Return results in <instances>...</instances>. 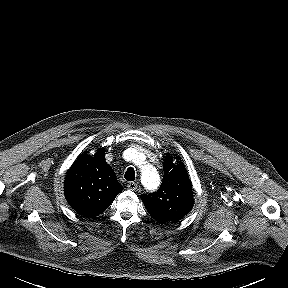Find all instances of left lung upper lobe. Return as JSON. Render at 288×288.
I'll list each match as a JSON object with an SVG mask.
<instances>
[{
    "instance_id": "left-lung-upper-lobe-1",
    "label": "left lung upper lobe",
    "mask_w": 288,
    "mask_h": 288,
    "mask_svg": "<svg viewBox=\"0 0 288 288\" xmlns=\"http://www.w3.org/2000/svg\"><path fill=\"white\" fill-rule=\"evenodd\" d=\"M171 157L164 161V178L160 189L142 194L141 200L148 213L161 224L177 222L193 207L191 182L181 163L174 165Z\"/></svg>"
}]
</instances>
